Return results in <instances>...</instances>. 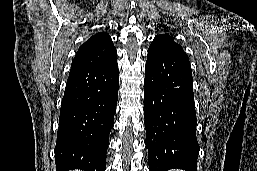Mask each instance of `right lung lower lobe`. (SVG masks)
I'll list each match as a JSON object with an SVG mask.
<instances>
[{
	"label": "right lung lower lobe",
	"mask_w": 257,
	"mask_h": 171,
	"mask_svg": "<svg viewBox=\"0 0 257 171\" xmlns=\"http://www.w3.org/2000/svg\"><path fill=\"white\" fill-rule=\"evenodd\" d=\"M119 89L117 60L70 70L62 99L56 171H105Z\"/></svg>",
	"instance_id": "obj_1"
}]
</instances>
